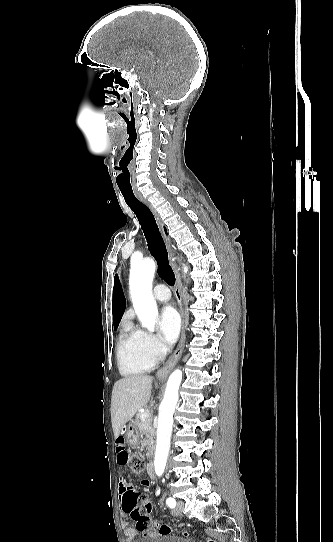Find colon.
<instances>
[{"mask_svg": "<svg viewBox=\"0 0 333 542\" xmlns=\"http://www.w3.org/2000/svg\"><path fill=\"white\" fill-rule=\"evenodd\" d=\"M128 459L129 468L132 473L141 474L145 470V462L139 455L132 454ZM141 495L140 489H125L121 499L124 510L127 511L130 519L136 524V528L139 532L151 534L152 538H157L158 532L161 535H167L169 527L167 525L158 526L150 517L154 508L153 501L143 500L141 503ZM207 542H213V540L208 539Z\"/></svg>", "mask_w": 333, "mask_h": 542, "instance_id": "1", "label": "colon"}]
</instances>
